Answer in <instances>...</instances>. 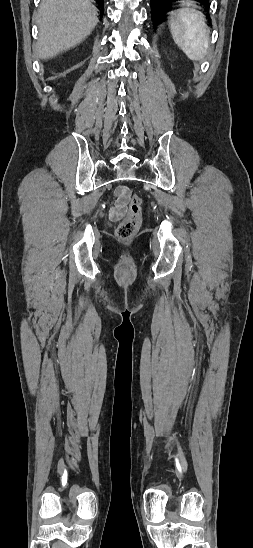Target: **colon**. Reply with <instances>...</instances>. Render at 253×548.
Listing matches in <instances>:
<instances>
[{
    "label": "colon",
    "instance_id": "colon-1",
    "mask_svg": "<svg viewBox=\"0 0 253 548\" xmlns=\"http://www.w3.org/2000/svg\"><path fill=\"white\" fill-rule=\"evenodd\" d=\"M141 209V197L133 195L129 203V214L119 223L116 229V235L119 239L127 241L132 238L141 221Z\"/></svg>",
    "mask_w": 253,
    "mask_h": 548
}]
</instances>
